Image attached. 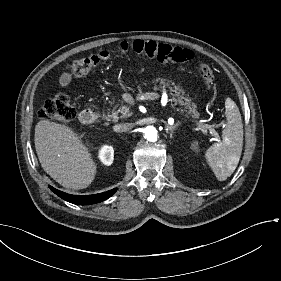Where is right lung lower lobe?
<instances>
[{
  "instance_id": "right-lung-lower-lobe-1",
  "label": "right lung lower lobe",
  "mask_w": 281,
  "mask_h": 281,
  "mask_svg": "<svg viewBox=\"0 0 281 281\" xmlns=\"http://www.w3.org/2000/svg\"><path fill=\"white\" fill-rule=\"evenodd\" d=\"M50 189L57 194L59 197L62 199L76 204V205H88V204H94V203H99L102 202L106 199H108L110 196H112L117 189H112L103 193L99 194H94V195H70L65 192L59 191L52 186H49Z\"/></svg>"
}]
</instances>
